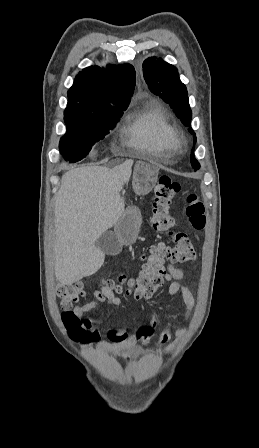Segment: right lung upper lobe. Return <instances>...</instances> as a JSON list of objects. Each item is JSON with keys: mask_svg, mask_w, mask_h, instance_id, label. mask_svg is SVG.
Segmentation results:
<instances>
[{"mask_svg": "<svg viewBox=\"0 0 259 448\" xmlns=\"http://www.w3.org/2000/svg\"><path fill=\"white\" fill-rule=\"evenodd\" d=\"M136 75L130 64L90 66L76 76L68 91L64 115L127 108L134 91Z\"/></svg>", "mask_w": 259, "mask_h": 448, "instance_id": "right-lung-upper-lobe-1", "label": "right lung upper lobe"}]
</instances>
